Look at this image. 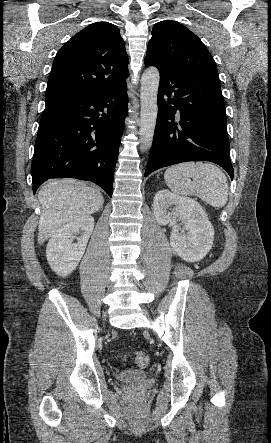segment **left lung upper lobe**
I'll return each mask as SVG.
<instances>
[{"label":"left lung upper lobe","mask_w":271,"mask_h":443,"mask_svg":"<svg viewBox=\"0 0 271 443\" xmlns=\"http://www.w3.org/2000/svg\"><path fill=\"white\" fill-rule=\"evenodd\" d=\"M146 57L164 64L201 71L218 77L212 55L202 41L184 25L164 20L154 25Z\"/></svg>","instance_id":"5c2ea615"}]
</instances>
